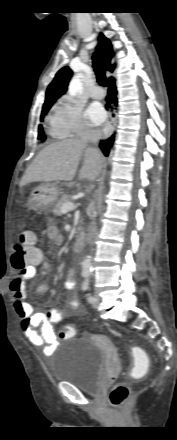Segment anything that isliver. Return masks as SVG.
Instances as JSON below:
<instances>
[{
  "label": "liver",
  "instance_id": "6515ba94",
  "mask_svg": "<svg viewBox=\"0 0 177 440\" xmlns=\"http://www.w3.org/2000/svg\"><path fill=\"white\" fill-rule=\"evenodd\" d=\"M83 165L79 179L93 182L101 172L103 156L87 142L80 139H66L42 149L22 177L21 186L32 182L71 181L76 174L79 161Z\"/></svg>",
  "mask_w": 177,
  "mask_h": 440
}]
</instances>
